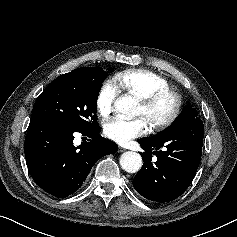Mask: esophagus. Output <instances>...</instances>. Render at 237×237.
Segmentation results:
<instances>
[{"label": "esophagus", "mask_w": 237, "mask_h": 237, "mask_svg": "<svg viewBox=\"0 0 237 237\" xmlns=\"http://www.w3.org/2000/svg\"><path fill=\"white\" fill-rule=\"evenodd\" d=\"M126 149L122 146H118V152H124Z\"/></svg>", "instance_id": "34e87169"}]
</instances>
